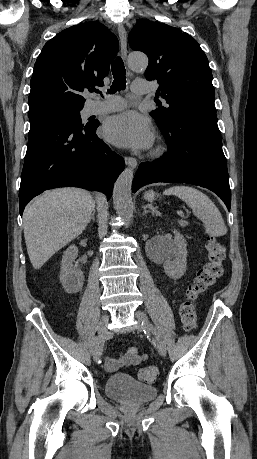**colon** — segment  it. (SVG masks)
<instances>
[{"instance_id": "obj_1", "label": "colon", "mask_w": 257, "mask_h": 459, "mask_svg": "<svg viewBox=\"0 0 257 459\" xmlns=\"http://www.w3.org/2000/svg\"><path fill=\"white\" fill-rule=\"evenodd\" d=\"M206 252L207 262L186 288L179 306V316L185 331H192L197 325V313L193 301L213 286L224 273L225 251L220 241L215 237H208ZM157 374L158 370L155 367H143L137 371L138 378L145 382H152Z\"/></svg>"}]
</instances>
